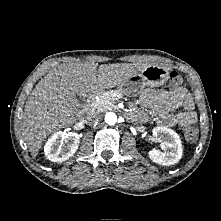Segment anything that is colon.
Masks as SVG:
<instances>
[{"instance_id":"5ec220e1","label":"colon","mask_w":221,"mask_h":221,"mask_svg":"<svg viewBox=\"0 0 221 221\" xmlns=\"http://www.w3.org/2000/svg\"><path fill=\"white\" fill-rule=\"evenodd\" d=\"M183 78L177 72H171L169 76V86L171 89L181 87ZM185 131L186 138L189 141H194L197 138L198 128L195 122H187L182 125Z\"/></svg>"}]
</instances>
